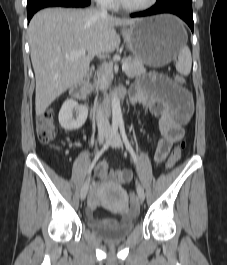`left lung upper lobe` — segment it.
Wrapping results in <instances>:
<instances>
[{"instance_id":"1","label":"left lung upper lobe","mask_w":227,"mask_h":265,"mask_svg":"<svg viewBox=\"0 0 227 265\" xmlns=\"http://www.w3.org/2000/svg\"><path fill=\"white\" fill-rule=\"evenodd\" d=\"M168 1H183V2H191L192 0H157L156 3H163V2H168Z\"/></svg>"}]
</instances>
